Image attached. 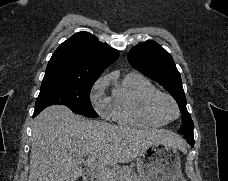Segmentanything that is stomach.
<instances>
[{
	"mask_svg": "<svg viewBox=\"0 0 228 181\" xmlns=\"http://www.w3.org/2000/svg\"><path fill=\"white\" fill-rule=\"evenodd\" d=\"M136 167L141 181H185L176 147L151 143L137 155Z\"/></svg>",
	"mask_w": 228,
	"mask_h": 181,
	"instance_id": "obj_1",
	"label": "stomach"
}]
</instances>
